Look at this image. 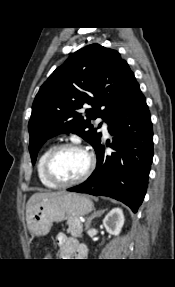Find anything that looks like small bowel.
Masks as SVG:
<instances>
[{
    "label": "small bowel",
    "instance_id": "obj_1",
    "mask_svg": "<svg viewBox=\"0 0 175 287\" xmlns=\"http://www.w3.org/2000/svg\"><path fill=\"white\" fill-rule=\"evenodd\" d=\"M55 242L59 246V256L62 259H70L72 257L84 259L87 256L86 247L79 244L75 238L59 233L55 237Z\"/></svg>",
    "mask_w": 175,
    "mask_h": 287
}]
</instances>
